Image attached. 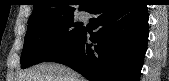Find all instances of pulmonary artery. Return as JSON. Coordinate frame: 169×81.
<instances>
[{
  "mask_svg": "<svg viewBox=\"0 0 169 81\" xmlns=\"http://www.w3.org/2000/svg\"><path fill=\"white\" fill-rule=\"evenodd\" d=\"M81 18H86V15L84 13L81 14Z\"/></svg>",
  "mask_w": 169,
  "mask_h": 81,
  "instance_id": "obj_1",
  "label": "pulmonary artery"
}]
</instances>
